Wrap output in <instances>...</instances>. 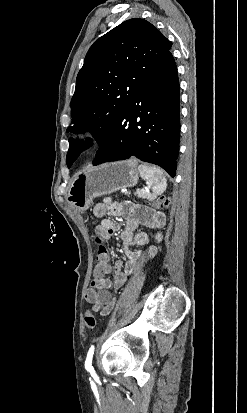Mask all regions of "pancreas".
Instances as JSON below:
<instances>
[{"label": "pancreas", "mask_w": 247, "mask_h": 413, "mask_svg": "<svg viewBox=\"0 0 247 413\" xmlns=\"http://www.w3.org/2000/svg\"><path fill=\"white\" fill-rule=\"evenodd\" d=\"M125 194H130V192H125ZM135 194L141 196V198H148V200H153V198H155V194H148V192H142V190H137Z\"/></svg>", "instance_id": "pancreas-1"}]
</instances>
